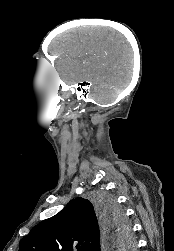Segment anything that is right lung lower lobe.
I'll return each mask as SVG.
<instances>
[{
  "mask_svg": "<svg viewBox=\"0 0 174 251\" xmlns=\"http://www.w3.org/2000/svg\"><path fill=\"white\" fill-rule=\"evenodd\" d=\"M103 228L105 230V233H104V238L102 240V249H104L106 246V243H107V240H108V236H110V232L105 228L104 224H103Z\"/></svg>",
  "mask_w": 174,
  "mask_h": 251,
  "instance_id": "obj_1",
  "label": "right lung lower lobe"
}]
</instances>
